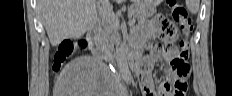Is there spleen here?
<instances>
[{"mask_svg": "<svg viewBox=\"0 0 232 96\" xmlns=\"http://www.w3.org/2000/svg\"><path fill=\"white\" fill-rule=\"evenodd\" d=\"M199 0H186V7L192 14H197L199 11Z\"/></svg>", "mask_w": 232, "mask_h": 96, "instance_id": "obj_1", "label": "spleen"}]
</instances>
